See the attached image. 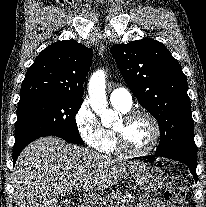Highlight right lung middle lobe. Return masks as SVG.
Wrapping results in <instances>:
<instances>
[{
	"label": "right lung middle lobe",
	"mask_w": 206,
	"mask_h": 207,
	"mask_svg": "<svg viewBox=\"0 0 206 207\" xmlns=\"http://www.w3.org/2000/svg\"><path fill=\"white\" fill-rule=\"evenodd\" d=\"M82 102L47 95L20 100L13 150L48 135L60 137L69 143L83 144L75 120Z\"/></svg>",
	"instance_id": "right-lung-middle-lobe-1"
}]
</instances>
